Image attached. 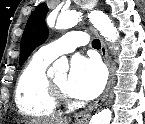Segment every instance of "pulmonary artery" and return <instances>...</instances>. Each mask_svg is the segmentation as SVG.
<instances>
[{
  "label": "pulmonary artery",
  "mask_w": 145,
  "mask_h": 124,
  "mask_svg": "<svg viewBox=\"0 0 145 124\" xmlns=\"http://www.w3.org/2000/svg\"><path fill=\"white\" fill-rule=\"evenodd\" d=\"M86 43L87 39L83 32L74 31L41 47L37 54L44 59L52 61L62 54L73 52L78 47L84 46Z\"/></svg>",
  "instance_id": "e3ab8cb5"
}]
</instances>
